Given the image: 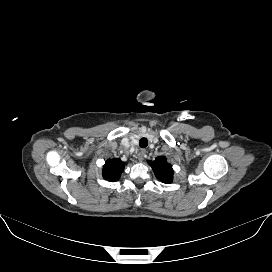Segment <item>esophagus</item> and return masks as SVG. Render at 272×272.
<instances>
[{
  "label": "esophagus",
  "mask_w": 272,
  "mask_h": 272,
  "mask_svg": "<svg viewBox=\"0 0 272 272\" xmlns=\"http://www.w3.org/2000/svg\"><path fill=\"white\" fill-rule=\"evenodd\" d=\"M145 155H146V151H145V150L139 151V153L137 154L138 160H139L140 162H142L143 159H144V157H145Z\"/></svg>",
  "instance_id": "34e87169"
}]
</instances>
